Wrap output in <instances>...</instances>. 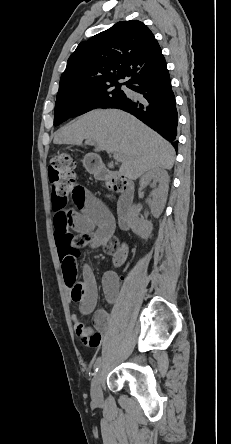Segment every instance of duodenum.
<instances>
[{
    "instance_id": "duodenum-1",
    "label": "duodenum",
    "mask_w": 231,
    "mask_h": 444,
    "mask_svg": "<svg viewBox=\"0 0 231 444\" xmlns=\"http://www.w3.org/2000/svg\"><path fill=\"white\" fill-rule=\"evenodd\" d=\"M97 175L105 180H116L120 176L110 171L105 166H101L97 172ZM134 202V188L131 184H126L123 188L122 195L119 199V224L120 226L127 230L130 227V213Z\"/></svg>"
}]
</instances>
